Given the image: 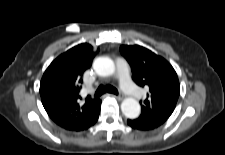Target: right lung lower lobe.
I'll return each instance as SVG.
<instances>
[{
	"label": "right lung lower lobe",
	"instance_id": "right-lung-lower-lobe-1",
	"mask_svg": "<svg viewBox=\"0 0 225 155\" xmlns=\"http://www.w3.org/2000/svg\"><path fill=\"white\" fill-rule=\"evenodd\" d=\"M99 113H100V107H99V110H98V112H97V114H96V116H95V119H94L92 125L95 124V122L97 121V119H98V117H99ZM92 125H91V126H92Z\"/></svg>",
	"mask_w": 225,
	"mask_h": 155
}]
</instances>
